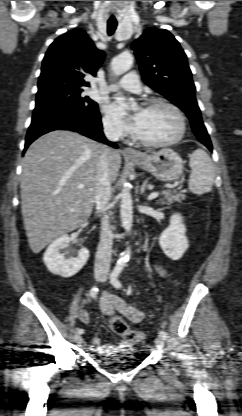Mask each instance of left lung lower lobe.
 <instances>
[{
    "label": "left lung lower lobe",
    "mask_w": 242,
    "mask_h": 416,
    "mask_svg": "<svg viewBox=\"0 0 242 416\" xmlns=\"http://www.w3.org/2000/svg\"><path fill=\"white\" fill-rule=\"evenodd\" d=\"M201 143H203L210 151H212V144H211L210 139L201 141Z\"/></svg>",
    "instance_id": "0a47b994"
}]
</instances>
